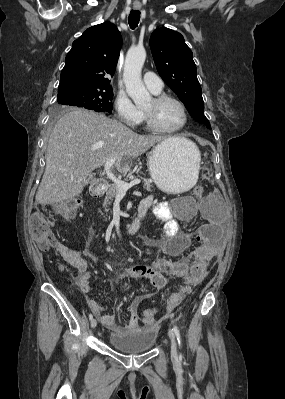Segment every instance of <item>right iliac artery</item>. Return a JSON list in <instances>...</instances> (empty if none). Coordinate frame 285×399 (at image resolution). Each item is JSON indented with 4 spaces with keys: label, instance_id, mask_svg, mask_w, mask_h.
Instances as JSON below:
<instances>
[{
    "label": "right iliac artery",
    "instance_id": "right-iliac-artery-1",
    "mask_svg": "<svg viewBox=\"0 0 285 399\" xmlns=\"http://www.w3.org/2000/svg\"><path fill=\"white\" fill-rule=\"evenodd\" d=\"M89 319H90V320L93 319V315H92V314L89 315Z\"/></svg>",
    "mask_w": 285,
    "mask_h": 399
}]
</instances>
